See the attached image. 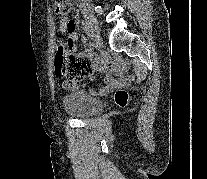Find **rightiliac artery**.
<instances>
[{
  "instance_id": "obj_1",
  "label": "right iliac artery",
  "mask_w": 207,
  "mask_h": 179,
  "mask_svg": "<svg viewBox=\"0 0 207 179\" xmlns=\"http://www.w3.org/2000/svg\"><path fill=\"white\" fill-rule=\"evenodd\" d=\"M82 29L88 37L93 36V31L90 29L89 25L84 21H82Z\"/></svg>"
}]
</instances>
